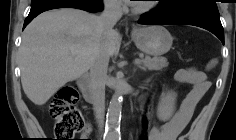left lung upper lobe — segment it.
<instances>
[{"instance_id":"5c2ea615","label":"left lung upper lobe","mask_w":236,"mask_h":140,"mask_svg":"<svg viewBox=\"0 0 236 140\" xmlns=\"http://www.w3.org/2000/svg\"><path fill=\"white\" fill-rule=\"evenodd\" d=\"M156 10L164 14L193 12L219 16L215 0H163Z\"/></svg>"}]
</instances>
